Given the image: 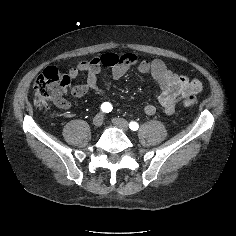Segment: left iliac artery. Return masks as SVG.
<instances>
[{"label": "left iliac artery", "instance_id": "obj_1", "mask_svg": "<svg viewBox=\"0 0 236 236\" xmlns=\"http://www.w3.org/2000/svg\"><path fill=\"white\" fill-rule=\"evenodd\" d=\"M129 128H130L131 130H133V131H136V130H138L139 125H138V123L132 121V122H130V124H129Z\"/></svg>", "mask_w": 236, "mask_h": 236}]
</instances>
